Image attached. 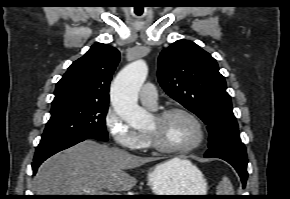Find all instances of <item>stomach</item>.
<instances>
[{
	"label": "stomach",
	"mask_w": 290,
	"mask_h": 199,
	"mask_svg": "<svg viewBox=\"0 0 290 199\" xmlns=\"http://www.w3.org/2000/svg\"><path fill=\"white\" fill-rule=\"evenodd\" d=\"M148 185L155 195H206L207 181L191 162L169 167L157 165L148 175ZM164 198L197 199L199 196H170Z\"/></svg>",
	"instance_id": "0dacf381"
}]
</instances>
